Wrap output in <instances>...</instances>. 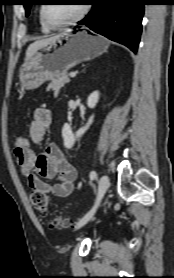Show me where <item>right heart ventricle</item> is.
<instances>
[{
	"instance_id": "obj_1",
	"label": "right heart ventricle",
	"mask_w": 174,
	"mask_h": 278,
	"mask_svg": "<svg viewBox=\"0 0 174 278\" xmlns=\"http://www.w3.org/2000/svg\"><path fill=\"white\" fill-rule=\"evenodd\" d=\"M39 24H40V29L42 33H49L50 32V28L48 26H46V24L44 23L42 17H41V8L39 10Z\"/></svg>"
}]
</instances>
